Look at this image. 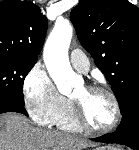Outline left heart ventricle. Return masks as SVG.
Listing matches in <instances>:
<instances>
[{
  "mask_svg": "<svg viewBox=\"0 0 139 150\" xmlns=\"http://www.w3.org/2000/svg\"><path fill=\"white\" fill-rule=\"evenodd\" d=\"M72 99L82 104L85 117L93 127L105 128L113 121V104L105 93L89 91L81 86L74 92Z\"/></svg>",
  "mask_w": 139,
  "mask_h": 150,
  "instance_id": "b2bd125f",
  "label": "left heart ventricle"
}]
</instances>
